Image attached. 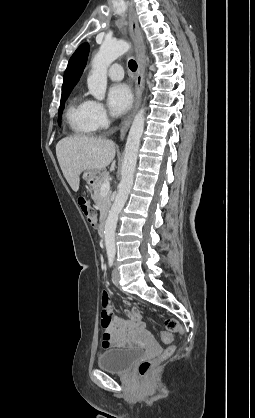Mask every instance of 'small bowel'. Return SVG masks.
<instances>
[{
  "instance_id": "obj_1",
  "label": "small bowel",
  "mask_w": 255,
  "mask_h": 418,
  "mask_svg": "<svg viewBox=\"0 0 255 418\" xmlns=\"http://www.w3.org/2000/svg\"><path fill=\"white\" fill-rule=\"evenodd\" d=\"M108 301V294L103 292L101 297L103 306L101 324L104 329L102 337L103 348L127 347L132 345L136 339L148 337L142 315L136 308L128 310V319L114 317L111 321V308ZM126 305H129V302H126Z\"/></svg>"
}]
</instances>
